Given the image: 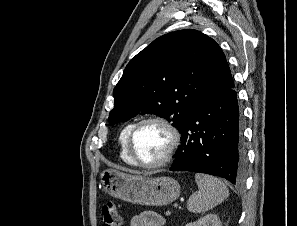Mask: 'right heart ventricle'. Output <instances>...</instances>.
Returning a JSON list of instances; mask_svg holds the SVG:
<instances>
[{"instance_id":"e07e8e85","label":"right heart ventricle","mask_w":297,"mask_h":226,"mask_svg":"<svg viewBox=\"0 0 297 226\" xmlns=\"http://www.w3.org/2000/svg\"><path fill=\"white\" fill-rule=\"evenodd\" d=\"M133 123H128L126 124L122 131L120 132V135H119V142H120V157L121 159L129 164V165H135L133 163V161L131 160L128 152H127V146H126V140H127V136H128V133L132 127Z\"/></svg>"}]
</instances>
